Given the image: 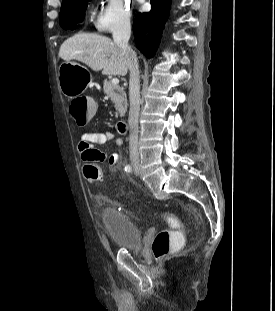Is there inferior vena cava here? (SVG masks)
<instances>
[{
  "mask_svg": "<svg viewBox=\"0 0 275 311\" xmlns=\"http://www.w3.org/2000/svg\"><path fill=\"white\" fill-rule=\"evenodd\" d=\"M131 35L130 21H123L113 31L114 43L120 47L124 52L130 55H134V51L128 44ZM129 150L130 158L132 160H139L138 152V119L140 111V77H139V66L137 59L134 58L130 66V79H129Z\"/></svg>",
  "mask_w": 275,
  "mask_h": 311,
  "instance_id": "1",
  "label": "inferior vena cava"
}]
</instances>
